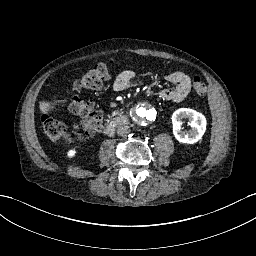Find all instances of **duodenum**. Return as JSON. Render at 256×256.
<instances>
[{
  "instance_id": "410a0bca",
  "label": "duodenum",
  "mask_w": 256,
  "mask_h": 256,
  "mask_svg": "<svg viewBox=\"0 0 256 256\" xmlns=\"http://www.w3.org/2000/svg\"><path fill=\"white\" fill-rule=\"evenodd\" d=\"M127 122H128V119L125 116H122L120 118H114L112 121H110L104 126L103 134L105 136H111L118 126L125 125L127 124Z\"/></svg>"
}]
</instances>
